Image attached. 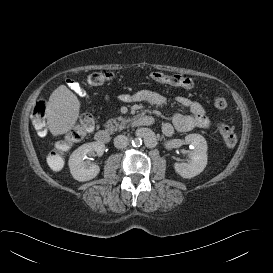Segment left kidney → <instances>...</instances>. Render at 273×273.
I'll list each match as a JSON object with an SVG mask.
<instances>
[{
  "mask_svg": "<svg viewBox=\"0 0 273 273\" xmlns=\"http://www.w3.org/2000/svg\"><path fill=\"white\" fill-rule=\"evenodd\" d=\"M187 144L194 149L189 154L188 163H175L174 169L183 178H193L200 174L207 165V142L200 134H189L185 137Z\"/></svg>",
  "mask_w": 273,
  "mask_h": 273,
  "instance_id": "5707ae66",
  "label": "left kidney"
}]
</instances>
